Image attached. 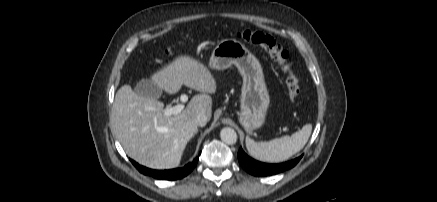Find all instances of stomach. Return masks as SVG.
<instances>
[{
  "instance_id": "1",
  "label": "stomach",
  "mask_w": 437,
  "mask_h": 202,
  "mask_svg": "<svg viewBox=\"0 0 437 202\" xmlns=\"http://www.w3.org/2000/svg\"><path fill=\"white\" fill-rule=\"evenodd\" d=\"M231 65L238 68L243 78L238 120L251 134L264 125L270 105L263 69L259 60L241 42L225 39L214 48L209 66L224 70Z\"/></svg>"
}]
</instances>
